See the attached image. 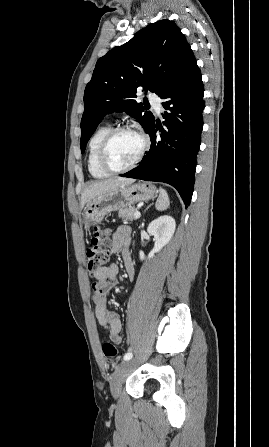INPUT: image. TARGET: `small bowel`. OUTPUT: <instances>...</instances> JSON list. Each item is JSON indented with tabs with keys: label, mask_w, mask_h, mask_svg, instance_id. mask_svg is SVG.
Returning a JSON list of instances; mask_svg holds the SVG:
<instances>
[{
	"label": "small bowel",
	"mask_w": 269,
	"mask_h": 447,
	"mask_svg": "<svg viewBox=\"0 0 269 447\" xmlns=\"http://www.w3.org/2000/svg\"><path fill=\"white\" fill-rule=\"evenodd\" d=\"M130 229L119 227L113 236V251L119 249L123 252L125 267L129 277L134 276L133 263L129 252ZM118 267L116 264H109L99 269L92 281V302L94 314L98 323L108 330L111 340L115 344H121L122 319L116 312L111 311L107 305V299L112 289L117 284Z\"/></svg>",
	"instance_id": "1"
}]
</instances>
